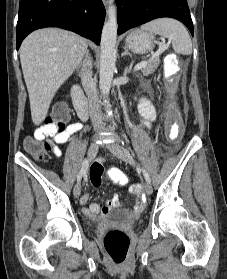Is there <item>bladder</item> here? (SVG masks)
Returning a JSON list of instances; mask_svg holds the SVG:
<instances>
[{"instance_id": "bladder-1", "label": "bladder", "mask_w": 227, "mask_h": 279, "mask_svg": "<svg viewBox=\"0 0 227 279\" xmlns=\"http://www.w3.org/2000/svg\"><path fill=\"white\" fill-rule=\"evenodd\" d=\"M127 221H129V222H134L135 220H134V219H130V220H127Z\"/></svg>"}]
</instances>
